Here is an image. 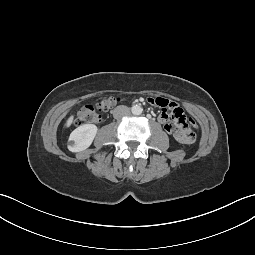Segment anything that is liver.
<instances>
[{
    "label": "liver",
    "instance_id": "liver-1",
    "mask_svg": "<svg viewBox=\"0 0 255 255\" xmlns=\"http://www.w3.org/2000/svg\"><path fill=\"white\" fill-rule=\"evenodd\" d=\"M72 122H73V115H71V116L67 119V121H66V123H65V127H66V128L70 127V125L72 124Z\"/></svg>",
    "mask_w": 255,
    "mask_h": 255
}]
</instances>
